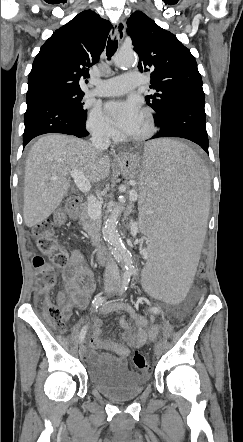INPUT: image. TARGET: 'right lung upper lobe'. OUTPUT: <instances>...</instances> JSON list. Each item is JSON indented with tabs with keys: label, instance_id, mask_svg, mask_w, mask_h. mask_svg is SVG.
<instances>
[{
	"label": "right lung upper lobe",
	"instance_id": "right-lung-upper-lobe-1",
	"mask_svg": "<svg viewBox=\"0 0 243 442\" xmlns=\"http://www.w3.org/2000/svg\"><path fill=\"white\" fill-rule=\"evenodd\" d=\"M111 29L109 21L83 11L57 29L40 48L28 78L27 96L54 89L82 92L79 81L99 61Z\"/></svg>",
	"mask_w": 243,
	"mask_h": 442
}]
</instances>
